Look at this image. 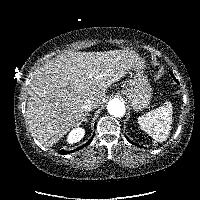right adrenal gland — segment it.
I'll use <instances>...</instances> for the list:
<instances>
[{
    "mask_svg": "<svg viewBox=\"0 0 200 200\" xmlns=\"http://www.w3.org/2000/svg\"><path fill=\"white\" fill-rule=\"evenodd\" d=\"M82 122H85V124L88 122L87 118H83Z\"/></svg>",
    "mask_w": 200,
    "mask_h": 200,
    "instance_id": "2a0ac1e0",
    "label": "right adrenal gland"
}]
</instances>
